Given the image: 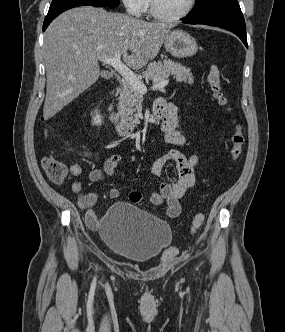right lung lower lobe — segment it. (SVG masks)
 I'll list each match as a JSON object with an SVG mask.
<instances>
[{"instance_id": "obj_1", "label": "right lung lower lobe", "mask_w": 285, "mask_h": 332, "mask_svg": "<svg viewBox=\"0 0 285 332\" xmlns=\"http://www.w3.org/2000/svg\"><path fill=\"white\" fill-rule=\"evenodd\" d=\"M77 6H81V5H69V6H61V7H56V8H50L48 11V14L44 20L43 23V31H45V29L48 27V25L52 22L53 19H55L59 14H61L62 12L70 9V8H74Z\"/></svg>"}]
</instances>
